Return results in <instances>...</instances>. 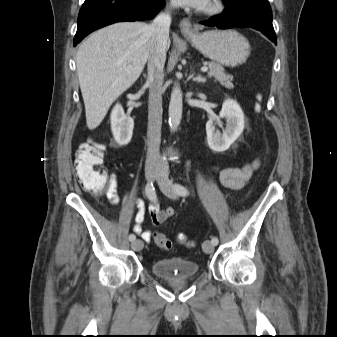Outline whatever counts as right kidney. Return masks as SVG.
Returning <instances> with one entry per match:
<instances>
[{"mask_svg": "<svg viewBox=\"0 0 337 337\" xmlns=\"http://www.w3.org/2000/svg\"><path fill=\"white\" fill-rule=\"evenodd\" d=\"M111 130L116 143L120 146L127 145L132 138L134 121L126 116L120 104H116L111 112Z\"/></svg>", "mask_w": 337, "mask_h": 337, "instance_id": "ca27d5eb", "label": "right kidney"}]
</instances>
